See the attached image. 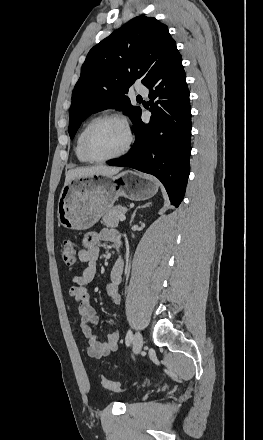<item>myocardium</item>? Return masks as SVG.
<instances>
[{
	"label": "myocardium",
	"instance_id": "myocardium-1",
	"mask_svg": "<svg viewBox=\"0 0 263 440\" xmlns=\"http://www.w3.org/2000/svg\"><path fill=\"white\" fill-rule=\"evenodd\" d=\"M106 121H114L119 123L125 131L126 140L124 145L117 152L107 156H97L90 149V139L96 127ZM133 142L134 134L127 119L118 114H105L95 118L87 127L82 139V152L84 156L91 162H106L125 155L131 148Z\"/></svg>",
	"mask_w": 263,
	"mask_h": 440
}]
</instances>
